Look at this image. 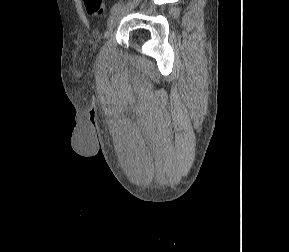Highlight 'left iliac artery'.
I'll use <instances>...</instances> for the list:
<instances>
[{
  "label": "left iliac artery",
  "instance_id": "1",
  "mask_svg": "<svg viewBox=\"0 0 289 252\" xmlns=\"http://www.w3.org/2000/svg\"><path fill=\"white\" fill-rule=\"evenodd\" d=\"M123 6H124L123 2H118V3L114 4L111 8V13L117 11L118 9H120Z\"/></svg>",
  "mask_w": 289,
  "mask_h": 252
}]
</instances>
